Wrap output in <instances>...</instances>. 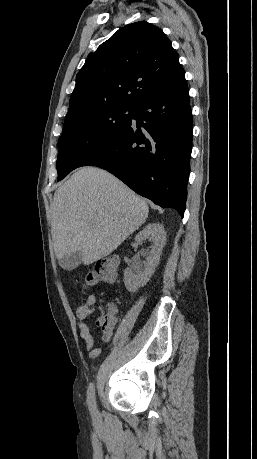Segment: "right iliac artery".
<instances>
[{
    "label": "right iliac artery",
    "instance_id": "1",
    "mask_svg": "<svg viewBox=\"0 0 257 459\" xmlns=\"http://www.w3.org/2000/svg\"><path fill=\"white\" fill-rule=\"evenodd\" d=\"M87 402H88V407H89L90 412L92 414H96L97 407H96V401H95V387L93 383H91L88 388Z\"/></svg>",
    "mask_w": 257,
    "mask_h": 459
}]
</instances>
